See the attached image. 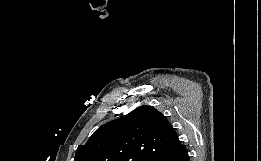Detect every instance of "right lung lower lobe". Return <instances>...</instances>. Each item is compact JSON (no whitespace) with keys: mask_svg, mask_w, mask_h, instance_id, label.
I'll return each mask as SVG.
<instances>
[{"mask_svg":"<svg viewBox=\"0 0 261 161\" xmlns=\"http://www.w3.org/2000/svg\"><path fill=\"white\" fill-rule=\"evenodd\" d=\"M151 161H190L186 147L153 158Z\"/></svg>","mask_w":261,"mask_h":161,"instance_id":"1","label":"right lung lower lobe"}]
</instances>
